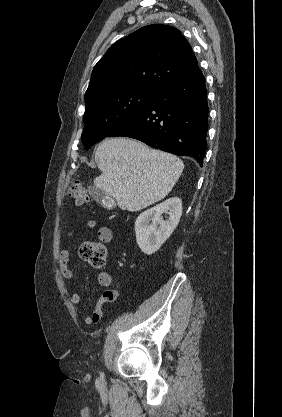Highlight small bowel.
Masks as SVG:
<instances>
[{
	"mask_svg": "<svg viewBox=\"0 0 282 417\" xmlns=\"http://www.w3.org/2000/svg\"><path fill=\"white\" fill-rule=\"evenodd\" d=\"M97 226V222L93 219L86 221L81 229L87 230V229H94ZM75 234L74 230H70L67 234L69 238L73 237ZM98 237L103 242H110L113 238L112 231L107 226H102L98 229ZM69 258L70 253L68 248H64L58 258V264H59V270L62 274V276L67 280H72L74 278V273L69 267ZM98 282L101 287L105 288V291L100 296L96 308L91 314H88L85 318V323L88 325L96 324L99 320L96 319V313H100V318L102 315V305L108 302H112L116 300L119 297V291L116 289H110L111 285V277L110 275L102 271L98 274ZM69 299L72 303L78 304L81 301V295L77 292H71L69 294Z\"/></svg>",
	"mask_w": 282,
	"mask_h": 417,
	"instance_id": "1",
	"label": "small bowel"
}]
</instances>
